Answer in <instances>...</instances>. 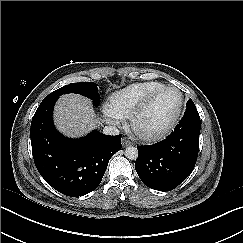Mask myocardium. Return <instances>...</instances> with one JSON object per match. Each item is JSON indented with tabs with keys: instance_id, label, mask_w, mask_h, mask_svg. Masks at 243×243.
Segmentation results:
<instances>
[{
	"instance_id": "1",
	"label": "myocardium",
	"mask_w": 243,
	"mask_h": 243,
	"mask_svg": "<svg viewBox=\"0 0 243 243\" xmlns=\"http://www.w3.org/2000/svg\"><path fill=\"white\" fill-rule=\"evenodd\" d=\"M167 90H176L180 93V103H179V108L178 111L176 113V115L174 116V118L171 120V122L161 131L157 132V133H152V134H147V133H143L141 132L138 128H137V120L138 118L141 116V114L149 107V105L154 101V99L156 97H158L161 93L167 91ZM184 101H185V95L183 93V91L174 86V85H168V86H164L160 89H158L157 91H155L154 93H152L149 97H147L130 115L129 118V127L131 129V131L142 141L145 142H153V141H157L162 139L163 137H165L166 135H168L173 129L174 127L177 125L178 121L181 118L182 112H183V108H184Z\"/></svg>"
}]
</instances>
